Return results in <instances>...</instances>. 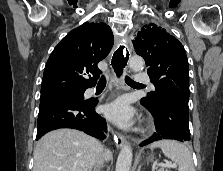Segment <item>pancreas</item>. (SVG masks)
I'll return each mask as SVG.
<instances>
[{
  "instance_id": "pancreas-1",
  "label": "pancreas",
  "mask_w": 223,
  "mask_h": 171,
  "mask_svg": "<svg viewBox=\"0 0 223 171\" xmlns=\"http://www.w3.org/2000/svg\"><path fill=\"white\" fill-rule=\"evenodd\" d=\"M158 171H164L163 169H159ZM166 171H170V170H166Z\"/></svg>"
}]
</instances>
